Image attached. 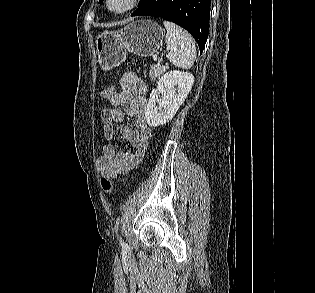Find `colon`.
Wrapping results in <instances>:
<instances>
[{"instance_id": "1", "label": "colon", "mask_w": 315, "mask_h": 293, "mask_svg": "<svg viewBox=\"0 0 315 293\" xmlns=\"http://www.w3.org/2000/svg\"><path fill=\"white\" fill-rule=\"evenodd\" d=\"M113 91H114L113 87H108L102 90L100 95L102 98L108 99V97L113 93ZM101 187L105 193L111 194L115 189V182L110 178L103 177L101 179Z\"/></svg>"}]
</instances>
